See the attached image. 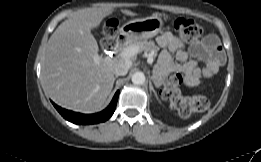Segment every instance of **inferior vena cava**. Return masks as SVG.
<instances>
[{
    "instance_id": "602c4592",
    "label": "inferior vena cava",
    "mask_w": 261,
    "mask_h": 162,
    "mask_svg": "<svg viewBox=\"0 0 261 162\" xmlns=\"http://www.w3.org/2000/svg\"><path fill=\"white\" fill-rule=\"evenodd\" d=\"M132 65V62L131 61H123V60H120L118 62L115 63L114 65V69H113V73L116 75V76H124L127 74L129 68L131 67Z\"/></svg>"
}]
</instances>
